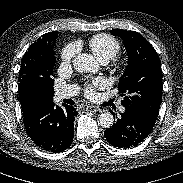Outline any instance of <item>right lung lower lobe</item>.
I'll return each mask as SVG.
<instances>
[{
    "label": "right lung lower lobe",
    "instance_id": "98d812e1",
    "mask_svg": "<svg viewBox=\"0 0 183 183\" xmlns=\"http://www.w3.org/2000/svg\"><path fill=\"white\" fill-rule=\"evenodd\" d=\"M63 106H55L52 98L22 107L23 122L29 137L46 151L61 152L72 143L77 111L70 105Z\"/></svg>",
    "mask_w": 183,
    "mask_h": 183
}]
</instances>
